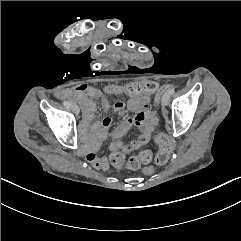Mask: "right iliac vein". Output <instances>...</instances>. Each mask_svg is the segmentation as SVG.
Here are the masks:
<instances>
[{"instance_id":"obj_1","label":"right iliac vein","mask_w":241,"mask_h":241,"mask_svg":"<svg viewBox=\"0 0 241 241\" xmlns=\"http://www.w3.org/2000/svg\"><path fill=\"white\" fill-rule=\"evenodd\" d=\"M71 109H72V111H73L76 115H78L79 112H80V109H79V107H78L77 104H72V105H71Z\"/></svg>"}]
</instances>
